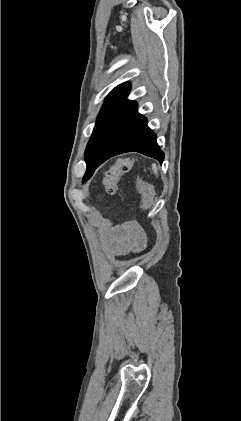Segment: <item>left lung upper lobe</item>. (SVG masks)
<instances>
[{"label": "left lung upper lobe", "instance_id": "1", "mask_svg": "<svg viewBox=\"0 0 241 421\" xmlns=\"http://www.w3.org/2000/svg\"><path fill=\"white\" fill-rule=\"evenodd\" d=\"M129 91L130 84L123 83L115 87L107 96L85 150L87 167L93 164L102 153L117 120L129 103V100H126Z\"/></svg>", "mask_w": 241, "mask_h": 421}]
</instances>
